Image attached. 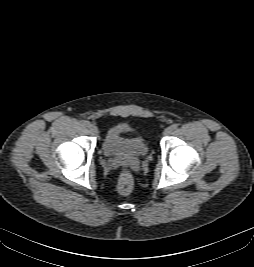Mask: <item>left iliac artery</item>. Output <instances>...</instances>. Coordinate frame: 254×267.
Wrapping results in <instances>:
<instances>
[{
  "label": "left iliac artery",
  "mask_w": 254,
  "mask_h": 267,
  "mask_svg": "<svg viewBox=\"0 0 254 267\" xmlns=\"http://www.w3.org/2000/svg\"><path fill=\"white\" fill-rule=\"evenodd\" d=\"M178 126H179L178 124H173V125H172L173 129H177Z\"/></svg>",
  "instance_id": "1"
}]
</instances>
